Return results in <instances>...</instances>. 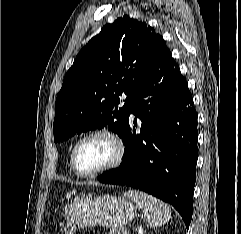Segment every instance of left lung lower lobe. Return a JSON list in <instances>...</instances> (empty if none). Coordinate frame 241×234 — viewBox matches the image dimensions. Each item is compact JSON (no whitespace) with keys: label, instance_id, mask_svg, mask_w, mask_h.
I'll return each mask as SVG.
<instances>
[{"label":"left lung lower lobe","instance_id":"obj_1","mask_svg":"<svg viewBox=\"0 0 241 234\" xmlns=\"http://www.w3.org/2000/svg\"><path fill=\"white\" fill-rule=\"evenodd\" d=\"M130 114L135 119H128L122 163L97 180L162 199L189 227L198 157L197 113L186 79L167 47L136 89Z\"/></svg>","mask_w":241,"mask_h":234}]
</instances>
